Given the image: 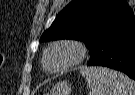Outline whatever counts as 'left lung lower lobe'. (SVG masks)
<instances>
[{
	"instance_id": "left-lung-lower-lobe-1",
	"label": "left lung lower lobe",
	"mask_w": 135,
	"mask_h": 95,
	"mask_svg": "<svg viewBox=\"0 0 135 95\" xmlns=\"http://www.w3.org/2000/svg\"><path fill=\"white\" fill-rule=\"evenodd\" d=\"M87 65L109 67L135 80V23L106 36Z\"/></svg>"
}]
</instances>
